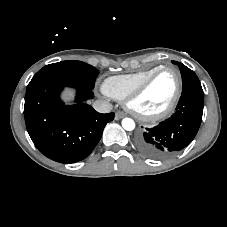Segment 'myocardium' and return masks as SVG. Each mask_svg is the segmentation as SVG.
Segmentation results:
<instances>
[{
	"mask_svg": "<svg viewBox=\"0 0 227 227\" xmlns=\"http://www.w3.org/2000/svg\"><path fill=\"white\" fill-rule=\"evenodd\" d=\"M165 71H173L177 76V88L170 103L163 110L157 113L146 114L138 111L134 107V102L145 92V90L150 86L154 79ZM182 89L183 81L180 71L172 66H163L156 70L155 72H153L151 75H149L134 90L131 91V93L125 98V107L131 114H133L140 120L147 122L159 121L166 118L173 112L181 97Z\"/></svg>",
	"mask_w": 227,
	"mask_h": 227,
	"instance_id": "myocardium-1",
	"label": "myocardium"
}]
</instances>
